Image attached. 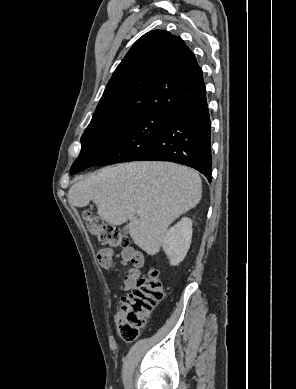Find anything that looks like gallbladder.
Masks as SVG:
<instances>
[{"mask_svg":"<svg viewBox=\"0 0 296 389\" xmlns=\"http://www.w3.org/2000/svg\"><path fill=\"white\" fill-rule=\"evenodd\" d=\"M123 231H124V232H127V231H128V227H125V228L123 229Z\"/></svg>","mask_w":296,"mask_h":389,"instance_id":"bac80fb5","label":"gallbladder"}]
</instances>
